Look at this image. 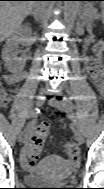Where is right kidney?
Returning a JSON list of instances; mask_svg holds the SVG:
<instances>
[{
  "mask_svg": "<svg viewBox=\"0 0 104 189\" xmlns=\"http://www.w3.org/2000/svg\"><path fill=\"white\" fill-rule=\"evenodd\" d=\"M30 33L31 30L29 27H22L18 32L7 39L2 49V59L9 72H18L24 68L26 57L23 51L18 50V47L26 41Z\"/></svg>",
  "mask_w": 104,
  "mask_h": 189,
  "instance_id": "1",
  "label": "right kidney"
}]
</instances>
